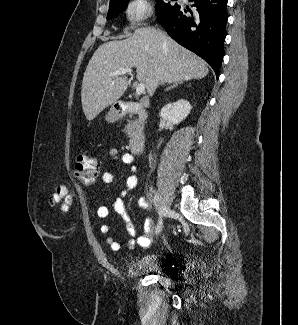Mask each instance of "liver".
<instances>
[{"mask_svg":"<svg viewBox=\"0 0 298 325\" xmlns=\"http://www.w3.org/2000/svg\"><path fill=\"white\" fill-rule=\"evenodd\" d=\"M132 66L150 96L158 84L203 78L209 72L205 60L180 46L166 32L153 26L135 28L125 40L100 44L91 56L81 86V104L87 120L117 102L128 88L127 76H109L110 72Z\"/></svg>","mask_w":298,"mask_h":325,"instance_id":"obj_1","label":"liver"}]
</instances>
